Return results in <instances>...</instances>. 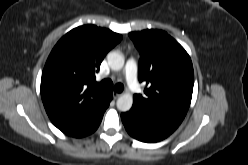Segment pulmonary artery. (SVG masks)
I'll return each instance as SVG.
<instances>
[{
    "label": "pulmonary artery",
    "mask_w": 248,
    "mask_h": 165,
    "mask_svg": "<svg viewBox=\"0 0 248 165\" xmlns=\"http://www.w3.org/2000/svg\"><path fill=\"white\" fill-rule=\"evenodd\" d=\"M124 70H125L127 84L130 90L133 93L138 94L141 91V89L137 79V64L134 61L129 60L126 63Z\"/></svg>",
    "instance_id": "1"
}]
</instances>
